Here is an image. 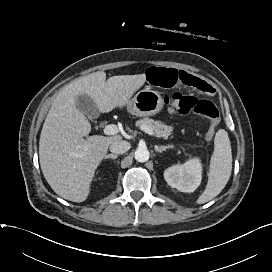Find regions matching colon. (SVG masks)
Wrapping results in <instances>:
<instances>
[{
    "instance_id": "obj_1",
    "label": "colon",
    "mask_w": 272,
    "mask_h": 272,
    "mask_svg": "<svg viewBox=\"0 0 272 272\" xmlns=\"http://www.w3.org/2000/svg\"><path fill=\"white\" fill-rule=\"evenodd\" d=\"M164 101L170 111L179 114H196L210 120V127L206 133L207 139H212L219 123V111L215 104L207 99L197 98L180 91L165 96Z\"/></svg>"
}]
</instances>
